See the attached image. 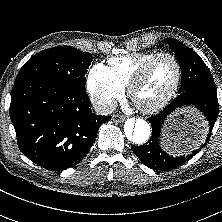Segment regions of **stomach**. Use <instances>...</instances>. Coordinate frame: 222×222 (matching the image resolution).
<instances>
[{"label":"stomach","instance_id":"1","mask_svg":"<svg viewBox=\"0 0 222 222\" xmlns=\"http://www.w3.org/2000/svg\"><path fill=\"white\" fill-rule=\"evenodd\" d=\"M181 116L173 117L164 132V146L173 154H186L196 148L203 139L205 122L193 110H186Z\"/></svg>","mask_w":222,"mask_h":222}]
</instances>
